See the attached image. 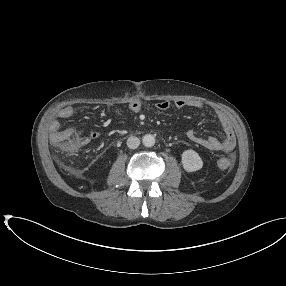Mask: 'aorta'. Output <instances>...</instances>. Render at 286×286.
Returning <instances> with one entry per match:
<instances>
[{
  "mask_svg": "<svg viewBox=\"0 0 286 286\" xmlns=\"http://www.w3.org/2000/svg\"><path fill=\"white\" fill-rule=\"evenodd\" d=\"M142 143L145 147H152L155 144V137L151 134H146L142 138Z\"/></svg>",
  "mask_w": 286,
  "mask_h": 286,
  "instance_id": "1",
  "label": "aorta"
}]
</instances>
